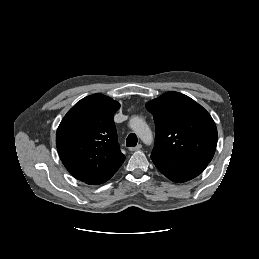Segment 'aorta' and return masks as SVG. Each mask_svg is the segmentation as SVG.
Returning a JSON list of instances; mask_svg holds the SVG:
<instances>
[{"instance_id": "aorta-1", "label": "aorta", "mask_w": 259, "mask_h": 259, "mask_svg": "<svg viewBox=\"0 0 259 259\" xmlns=\"http://www.w3.org/2000/svg\"><path fill=\"white\" fill-rule=\"evenodd\" d=\"M129 125L145 144H150L152 142V132L147 123L142 118L138 116L132 117L130 119Z\"/></svg>"}]
</instances>
